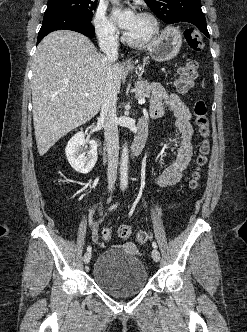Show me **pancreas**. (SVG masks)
Listing matches in <instances>:
<instances>
[{
    "instance_id": "pancreas-1",
    "label": "pancreas",
    "mask_w": 247,
    "mask_h": 332,
    "mask_svg": "<svg viewBox=\"0 0 247 332\" xmlns=\"http://www.w3.org/2000/svg\"><path fill=\"white\" fill-rule=\"evenodd\" d=\"M151 88L147 81H138L135 83V97L138 99L150 97Z\"/></svg>"
}]
</instances>
